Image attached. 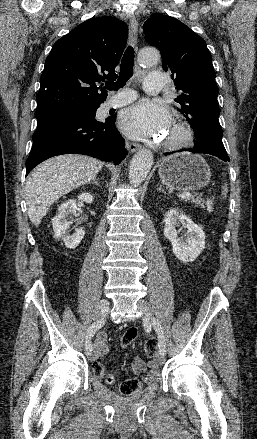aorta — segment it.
<instances>
[{
	"label": "aorta",
	"instance_id": "aorta-1",
	"mask_svg": "<svg viewBox=\"0 0 257 439\" xmlns=\"http://www.w3.org/2000/svg\"><path fill=\"white\" fill-rule=\"evenodd\" d=\"M160 54L156 49L146 48L139 52V61L145 66L157 63ZM153 164V154L150 150L142 149L137 152L131 160L129 166V180L131 184L140 185L151 170Z\"/></svg>",
	"mask_w": 257,
	"mask_h": 439
}]
</instances>
